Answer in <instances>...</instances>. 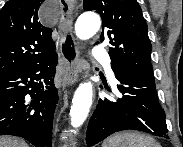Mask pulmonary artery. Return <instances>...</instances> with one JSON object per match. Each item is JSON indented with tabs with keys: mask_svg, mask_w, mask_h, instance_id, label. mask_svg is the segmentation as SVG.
I'll return each mask as SVG.
<instances>
[{
	"mask_svg": "<svg viewBox=\"0 0 183 147\" xmlns=\"http://www.w3.org/2000/svg\"><path fill=\"white\" fill-rule=\"evenodd\" d=\"M92 56L96 59H104V68L108 72L109 76L112 78L113 77V72L111 69V64H110V59L107 57L106 52L104 49H102L99 46H96L93 51H92Z\"/></svg>",
	"mask_w": 183,
	"mask_h": 147,
	"instance_id": "obj_1",
	"label": "pulmonary artery"
}]
</instances>
